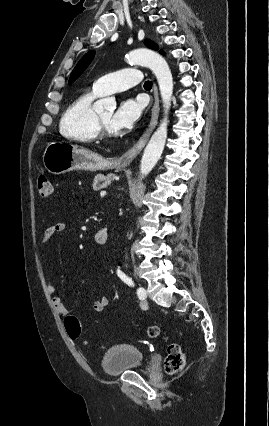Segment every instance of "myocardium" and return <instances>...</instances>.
<instances>
[{"instance_id":"obj_1","label":"myocardium","mask_w":269,"mask_h":426,"mask_svg":"<svg viewBox=\"0 0 269 426\" xmlns=\"http://www.w3.org/2000/svg\"><path fill=\"white\" fill-rule=\"evenodd\" d=\"M96 124L98 127L99 135L102 137H112L113 133L107 128V126L102 122L99 115L96 114Z\"/></svg>"}]
</instances>
